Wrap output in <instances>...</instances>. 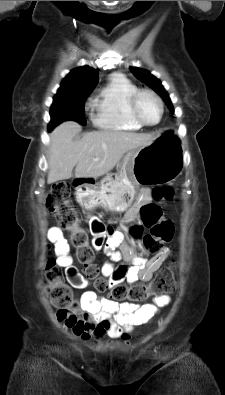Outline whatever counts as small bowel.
Here are the masks:
<instances>
[{"label": "small bowel", "instance_id": "1", "mask_svg": "<svg viewBox=\"0 0 225 395\" xmlns=\"http://www.w3.org/2000/svg\"><path fill=\"white\" fill-rule=\"evenodd\" d=\"M147 200L148 192L143 190L140 200L127 211V221L136 220ZM90 230L93 234L92 246L96 251L104 250L113 260L123 258L126 262L118 268L109 264L102 268V277L108 278L110 285L123 281L129 284L147 282L170 255L168 247H162L150 258L135 253L128 246L122 248V253L115 252L121 235L111 232L97 217L91 218ZM47 236L53 244L54 254H57L56 266H60V270H66L67 280L71 281V292H82L81 297L70 307L56 313L57 319L76 338L83 341H99L107 336L111 340H120L123 344H128L136 326L148 323L159 308L170 303L168 295L156 296L153 303L144 305L117 303L99 297L97 288H87L89 282L82 279L81 268L72 263V247L68 237H63L62 231L57 227H51Z\"/></svg>", "mask_w": 225, "mask_h": 395}]
</instances>
